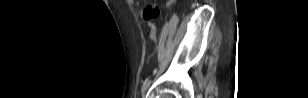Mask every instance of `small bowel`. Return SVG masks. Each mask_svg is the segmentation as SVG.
I'll return each mask as SVG.
<instances>
[{"mask_svg": "<svg viewBox=\"0 0 308 98\" xmlns=\"http://www.w3.org/2000/svg\"><path fill=\"white\" fill-rule=\"evenodd\" d=\"M143 16H144V18H146V19H150L149 17H147L145 14H143Z\"/></svg>", "mask_w": 308, "mask_h": 98, "instance_id": "c3829d8e", "label": "small bowel"}]
</instances>
